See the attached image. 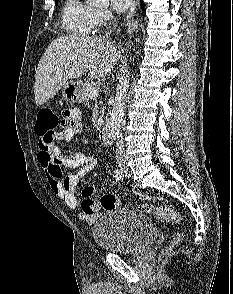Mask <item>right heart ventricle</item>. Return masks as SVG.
<instances>
[{"mask_svg": "<svg viewBox=\"0 0 233 294\" xmlns=\"http://www.w3.org/2000/svg\"><path fill=\"white\" fill-rule=\"evenodd\" d=\"M61 23L63 29L73 36L89 35L95 27L94 9L81 0H64Z\"/></svg>", "mask_w": 233, "mask_h": 294, "instance_id": "e07e8e85", "label": "right heart ventricle"}]
</instances>
